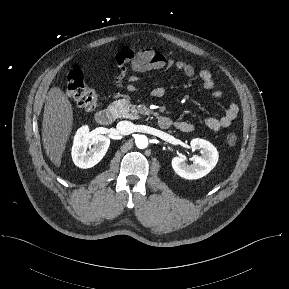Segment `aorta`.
Returning <instances> with one entry per match:
<instances>
[{"instance_id":"1","label":"aorta","mask_w":289,"mask_h":289,"mask_svg":"<svg viewBox=\"0 0 289 289\" xmlns=\"http://www.w3.org/2000/svg\"><path fill=\"white\" fill-rule=\"evenodd\" d=\"M136 146L140 149H144L148 146V138L145 135H138L135 138Z\"/></svg>"}]
</instances>
